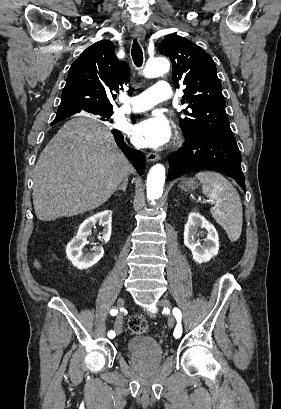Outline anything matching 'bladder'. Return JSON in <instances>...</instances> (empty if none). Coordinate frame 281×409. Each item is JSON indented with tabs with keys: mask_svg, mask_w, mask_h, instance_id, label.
Listing matches in <instances>:
<instances>
[{
	"mask_svg": "<svg viewBox=\"0 0 281 409\" xmlns=\"http://www.w3.org/2000/svg\"><path fill=\"white\" fill-rule=\"evenodd\" d=\"M124 350L130 355H162V342L148 334L133 335L127 339Z\"/></svg>",
	"mask_w": 281,
	"mask_h": 409,
	"instance_id": "1",
	"label": "bladder"
}]
</instances>
